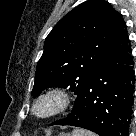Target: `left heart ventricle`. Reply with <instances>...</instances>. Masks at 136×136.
<instances>
[{
  "label": "left heart ventricle",
  "mask_w": 136,
  "mask_h": 136,
  "mask_svg": "<svg viewBox=\"0 0 136 136\" xmlns=\"http://www.w3.org/2000/svg\"><path fill=\"white\" fill-rule=\"evenodd\" d=\"M48 108H49L48 105H44V106L41 107V110H47Z\"/></svg>",
  "instance_id": "b2bd125f"
}]
</instances>
